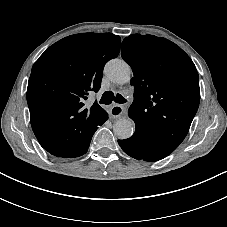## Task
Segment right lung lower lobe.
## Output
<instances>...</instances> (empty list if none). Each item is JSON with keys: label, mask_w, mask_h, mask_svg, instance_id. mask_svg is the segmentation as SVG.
Here are the masks:
<instances>
[{"label": "right lung lower lobe", "mask_w": 227, "mask_h": 227, "mask_svg": "<svg viewBox=\"0 0 227 227\" xmlns=\"http://www.w3.org/2000/svg\"><path fill=\"white\" fill-rule=\"evenodd\" d=\"M93 136V135H92ZM92 138V137H91ZM90 141L91 139L89 140L88 144L85 145L82 149L78 150V151H73V152H70V153H64V152H59V151H48L49 153H51L52 155L54 156H57V157H63V158H73V157H79L83 154H85L88 150V147L90 145ZM45 149V148H44ZM46 150V149H45Z\"/></svg>", "instance_id": "98d812e1"}]
</instances>
